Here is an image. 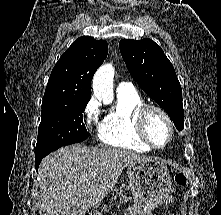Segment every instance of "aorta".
Instances as JSON below:
<instances>
[{
  "label": "aorta",
  "instance_id": "obj_1",
  "mask_svg": "<svg viewBox=\"0 0 221 215\" xmlns=\"http://www.w3.org/2000/svg\"><path fill=\"white\" fill-rule=\"evenodd\" d=\"M114 67L112 64L102 65L94 75L92 89L98 99L106 103L113 100Z\"/></svg>",
  "mask_w": 221,
  "mask_h": 215
}]
</instances>
